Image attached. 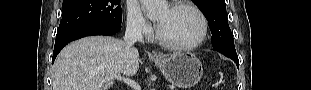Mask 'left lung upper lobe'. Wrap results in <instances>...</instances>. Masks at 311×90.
<instances>
[{"mask_svg":"<svg viewBox=\"0 0 311 90\" xmlns=\"http://www.w3.org/2000/svg\"><path fill=\"white\" fill-rule=\"evenodd\" d=\"M193 2L209 22L213 49L236 54L234 39L228 25L225 0H194Z\"/></svg>","mask_w":311,"mask_h":90,"instance_id":"obj_1","label":"left lung upper lobe"}]
</instances>
